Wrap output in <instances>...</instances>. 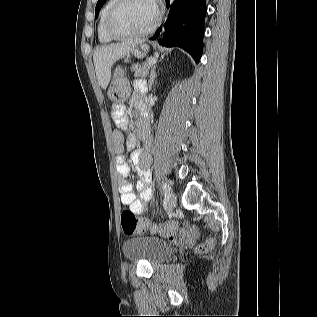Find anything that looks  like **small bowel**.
Segmentation results:
<instances>
[{
  "label": "small bowel",
  "mask_w": 317,
  "mask_h": 317,
  "mask_svg": "<svg viewBox=\"0 0 317 317\" xmlns=\"http://www.w3.org/2000/svg\"><path fill=\"white\" fill-rule=\"evenodd\" d=\"M135 95L132 98L133 110L128 113L124 107L113 109L112 118L117 126L112 132V146L117 154L116 168L119 175L123 178L119 185L120 201L124 206H128L130 210L138 215L143 214L147 209L148 202L152 199L153 192L150 186L151 173L149 170L150 164V134L148 128L147 117L142 110L140 100L141 94L146 91V84L142 79H137L134 82ZM141 111L138 115L137 112ZM132 114L136 118L138 128L137 135H124L128 123V116ZM141 139L143 148H136L137 140ZM131 150V161L135 165L136 172L139 175V180L136 184L138 197L133 191L132 184L126 179L131 171L129 163L126 161L123 152ZM194 231L192 228H183L177 230L170 236L173 241H190Z\"/></svg>",
  "instance_id": "c3829d8e"
}]
</instances>
